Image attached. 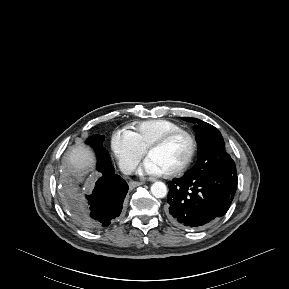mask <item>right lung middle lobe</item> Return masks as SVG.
Masks as SVG:
<instances>
[{
    "instance_id": "1",
    "label": "right lung middle lobe",
    "mask_w": 289,
    "mask_h": 289,
    "mask_svg": "<svg viewBox=\"0 0 289 289\" xmlns=\"http://www.w3.org/2000/svg\"><path fill=\"white\" fill-rule=\"evenodd\" d=\"M105 140L104 135H93L86 140V143L91 145L95 151L105 152L104 148H102V144ZM107 153V152H105Z\"/></svg>"
}]
</instances>
